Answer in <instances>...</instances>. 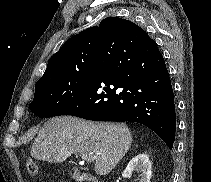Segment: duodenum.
Masks as SVG:
<instances>
[{
	"instance_id": "obj_1",
	"label": "duodenum",
	"mask_w": 211,
	"mask_h": 182,
	"mask_svg": "<svg viewBox=\"0 0 211 182\" xmlns=\"http://www.w3.org/2000/svg\"><path fill=\"white\" fill-rule=\"evenodd\" d=\"M78 180L82 179V178H77ZM84 179H86L88 182H99V180H97L94 177H90V176H86Z\"/></svg>"
}]
</instances>
